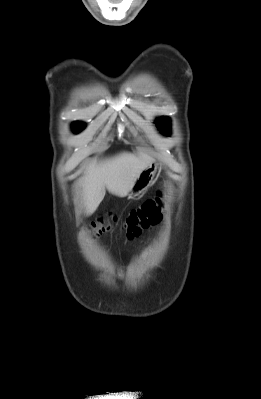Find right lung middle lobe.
<instances>
[{"label":"right lung middle lobe","instance_id":"1","mask_svg":"<svg viewBox=\"0 0 261 399\" xmlns=\"http://www.w3.org/2000/svg\"><path fill=\"white\" fill-rule=\"evenodd\" d=\"M84 128H85V125L83 123H81V122L73 123V131H75V132H78V131H80V130H82Z\"/></svg>","mask_w":261,"mask_h":399}]
</instances>
